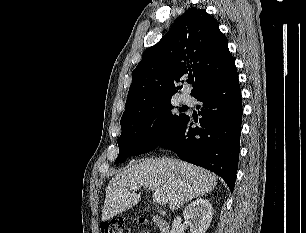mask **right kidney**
<instances>
[{
    "label": "right kidney",
    "instance_id": "obj_1",
    "mask_svg": "<svg viewBox=\"0 0 306 233\" xmlns=\"http://www.w3.org/2000/svg\"><path fill=\"white\" fill-rule=\"evenodd\" d=\"M212 216V205L209 200L202 198L191 202L183 211L185 223L190 226L191 233H205L210 226ZM181 222L180 217L174 220L171 233H180Z\"/></svg>",
    "mask_w": 306,
    "mask_h": 233
}]
</instances>
